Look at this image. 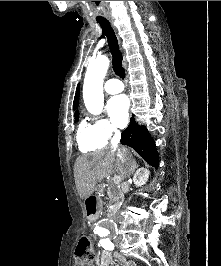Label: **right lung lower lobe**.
Returning <instances> with one entry per match:
<instances>
[{"label": "right lung lower lobe", "instance_id": "98d812e1", "mask_svg": "<svg viewBox=\"0 0 221 266\" xmlns=\"http://www.w3.org/2000/svg\"><path fill=\"white\" fill-rule=\"evenodd\" d=\"M121 143L132 147L149 165L155 168L159 166L154 140L144 126H138L134 117L130 119V125L122 132Z\"/></svg>", "mask_w": 221, "mask_h": 266}]
</instances>
